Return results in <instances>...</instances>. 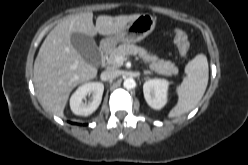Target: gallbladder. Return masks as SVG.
<instances>
[{
    "mask_svg": "<svg viewBox=\"0 0 248 165\" xmlns=\"http://www.w3.org/2000/svg\"><path fill=\"white\" fill-rule=\"evenodd\" d=\"M71 43L75 50L83 57L86 63L93 66H99L101 63V56L99 48L93 39L83 33H72Z\"/></svg>",
    "mask_w": 248,
    "mask_h": 165,
    "instance_id": "gallbladder-1",
    "label": "gallbladder"
}]
</instances>
